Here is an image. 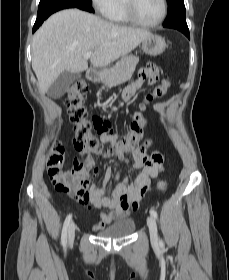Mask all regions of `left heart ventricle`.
<instances>
[{
	"instance_id": "1",
	"label": "left heart ventricle",
	"mask_w": 229,
	"mask_h": 280,
	"mask_svg": "<svg viewBox=\"0 0 229 280\" xmlns=\"http://www.w3.org/2000/svg\"><path fill=\"white\" fill-rule=\"evenodd\" d=\"M134 11L137 17L143 21L156 20L162 12L161 0H133Z\"/></svg>"
}]
</instances>
